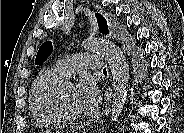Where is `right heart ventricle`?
<instances>
[{"mask_svg": "<svg viewBox=\"0 0 184 133\" xmlns=\"http://www.w3.org/2000/svg\"><path fill=\"white\" fill-rule=\"evenodd\" d=\"M63 79L58 70L51 67L40 72L32 85L30 108L35 118L44 125L56 126L63 121L55 104L56 91Z\"/></svg>", "mask_w": 184, "mask_h": 133, "instance_id": "obj_1", "label": "right heart ventricle"}]
</instances>
